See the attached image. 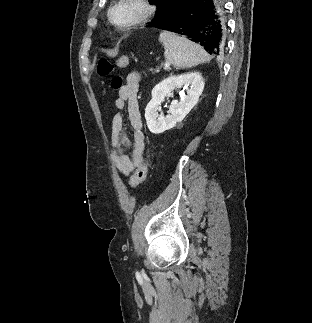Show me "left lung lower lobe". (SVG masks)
Masks as SVG:
<instances>
[{"instance_id":"obj_1","label":"left lung lower lobe","mask_w":312,"mask_h":323,"mask_svg":"<svg viewBox=\"0 0 312 323\" xmlns=\"http://www.w3.org/2000/svg\"><path fill=\"white\" fill-rule=\"evenodd\" d=\"M223 0H176L158 29L187 36L215 56L226 48L227 24Z\"/></svg>"}]
</instances>
